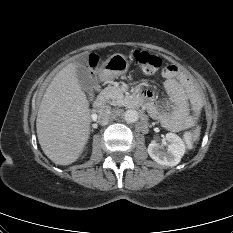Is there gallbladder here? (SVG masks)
<instances>
[{"mask_svg":"<svg viewBox=\"0 0 233 233\" xmlns=\"http://www.w3.org/2000/svg\"><path fill=\"white\" fill-rule=\"evenodd\" d=\"M75 62L78 64L76 75L78 82L84 92H86L91 100L94 99V79L91 75L90 69L87 67L88 56L86 54L80 55Z\"/></svg>","mask_w":233,"mask_h":233,"instance_id":"bac80fb5","label":"gallbladder"}]
</instances>
